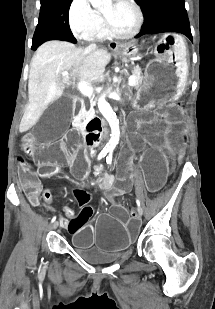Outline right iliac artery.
I'll list each match as a JSON object with an SVG mask.
<instances>
[{
	"label": "right iliac artery",
	"instance_id": "obj_1",
	"mask_svg": "<svg viewBox=\"0 0 215 309\" xmlns=\"http://www.w3.org/2000/svg\"><path fill=\"white\" fill-rule=\"evenodd\" d=\"M107 152H108V150L103 149V150L101 151V153L99 154L98 159L100 160L101 158L105 157L106 154H107ZM55 220H56V217H53V219H52L51 222L53 223Z\"/></svg>",
	"mask_w": 215,
	"mask_h": 309
}]
</instances>
